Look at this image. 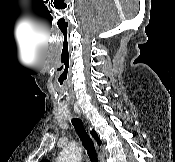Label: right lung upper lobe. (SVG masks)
<instances>
[{
	"mask_svg": "<svg viewBox=\"0 0 175 162\" xmlns=\"http://www.w3.org/2000/svg\"><path fill=\"white\" fill-rule=\"evenodd\" d=\"M91 134L96 139L98 145H101V141L99 140L97 133L94 130H92ZM42 162H48V160H43Z\"/></svg>",
	"mask_w": 175,
	"mask_h": 162,
	"instance_id": "1",
	"label": "right lung upper lobe"
}]
</instances>
